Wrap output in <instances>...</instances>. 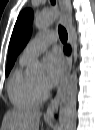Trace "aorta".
<instances>
[{"label": "aorta", "mask_w": 95, "mask_h": 130, "mask_svg": "<svg viewBox=\"0 0 95 130\" xmlns=\"http://www.w3.org/2000/svg\"><path fill=\"white\" fill-rule=\"evenodd\" d=\"M70 18L68 13L60 12L56 9H47L37 15L34 19V26L41 30L50 25L58 18ZM31 71L38 74L41 66L37 61L32 64ZM78 94V78L77 72H73L68 76L62 88L59 105V130H75L76 129V103Z\"/></svg>", "instance_id": "762f6f07"}]
</instances>
